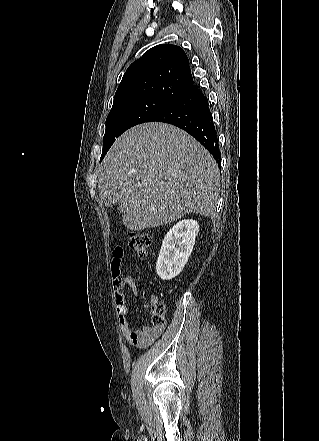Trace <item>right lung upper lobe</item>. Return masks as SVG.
I'll use <instances>...</instances> for the list:
<instances>
[{
    "label": "right lung upper lobe",
    "instance_id": "obj_1",
    "mask_svg": "<svg viewBox=\"0 0 319 441\" xmlns=\"http://www.w3.org/2000/svg\"><path fill=\"white\" fill-rule=\"evenodd\" d=\"M193 83L189 60L182 48L171 44L158 45L128 67L114 96L113 106L140 97L173 102Z\"/></svg>",
    "mask_w": 319,
    "mask_h": 441
}]
</instances>
